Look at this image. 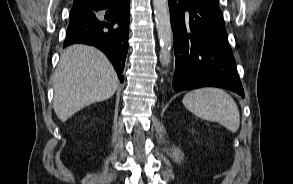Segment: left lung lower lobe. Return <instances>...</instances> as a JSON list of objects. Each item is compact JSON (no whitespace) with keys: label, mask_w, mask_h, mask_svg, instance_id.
Returning a JSON list of instances; mask_svg holds the SVG:
<instances>
[{"label":"left lung lower lobe","mask_w":293,"mask_h":184,"mask_svg":"<svg viewBox=\"0 0 293 184\" xmlns=\"http://www.w3.org/2000/svg\"><path fill=\"white\" fill-rule=\"evenodd\" d=\"M176 67L173 89L203 86L244 97L218 0H168Z\"/></svg>","instance_id":"obj_1"}]
</instances>
